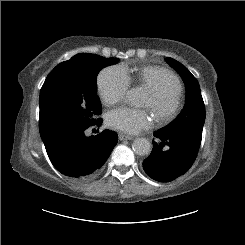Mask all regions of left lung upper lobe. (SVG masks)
I'll return each mask as SVG.
<instances>
[{"label": "left lung upper lobe", "instance_id": "obj_1", "mask_svg": "<svg viewBox=\"0 0 245 245\" xmlns=\"http://www.w3.org/2000/svg\"><path fill=\"white\" fill-rule=\"evenodd\" d=\"M184 81L186 104L182 112L169 125L160 130L163 134L189 139L200 146L205 121V105L196 78L178 61L166 58Z\"/></svg>", "mask_w": 245, "mask_h": 245}]
</instances>
